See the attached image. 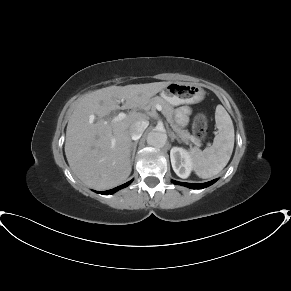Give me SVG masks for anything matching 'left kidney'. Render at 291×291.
I'll list each match as a JSON object with an SVG mask.
<instances>
[{
	"label": "left kidney",
	"mask_w": 291,
	"mask_h": 291,
	"mask_svg": "<svg viewBox=\"0 0 291 291\" xmlns=\"http://www.w3.org/2000/svg\"><path fill=\"white\" fill-rule=\"evenodd\" d=\"M170 159L177 176L183 179L188 178L193 168V160L190 154L181 147H173L170 151Z\"/></svg>",
	"instance_id": "5707ae66"
}]
</instances>
